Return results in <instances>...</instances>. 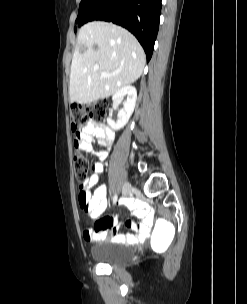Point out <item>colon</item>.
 Segmentation results:
<instances>
[{
  "instance_id": "5ec220e1",
  "label": "colon",
  "mask_w": 247,
  "mask_h": 304,
  "mask_svg": "<svg viewBox=\"0 0 247 304\" xmlns=\"http://www.w3.org/2000/svg\"><path fill=\"white\" fill-rule=\"evenodd\" d=\"M108 111V102L105 100L95 101L83 107L75 106L71 110V128L75 136H78L81 130L89 124L90 121H102L105 119ZM76 153L73 164L75 177L80 186V196L83 198V185L87 178L89 170V161L81 152L78 141H75ZM171 240H175L173 233L172 220L158 218L155 220V227L152 229V237L148 242L151 244V253H166L170 248Z\"/></svg>"
}]
</instances>
